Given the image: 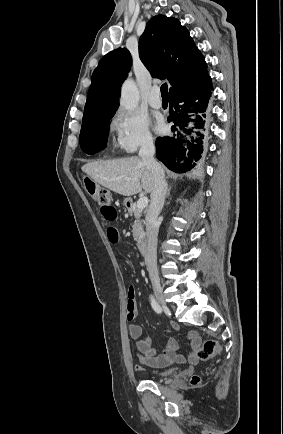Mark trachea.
<instances>
[{
	"label": "trachea",
	"mask_w": 283,
	"mask_h": 434,
	"mask_svg": "<svg viewBox=\"0 0 283 434\" xmlns=\"http://www.w3.org/2000/svg\"><path fill=\"white\" fill-rule=\"evenodd\" d=\"M160 90H161L162 97H167L168 98V86H167V83H164L161 86Z\"/></svg>",
	"instance_id": "trachea-1"
}]
</instances>
